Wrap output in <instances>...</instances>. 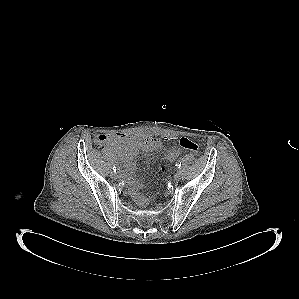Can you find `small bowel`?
I'll return each instance as SVG.
<instances>
[{"instance_id":"c3829d8e","label":"small bowel","mask_w":299,"mask_h":299,"mask_svg":"<svg viewBox=\"0 0 299 299\" xmlns=\"http://www.w3.org/2000/svg\"><path fill=\"white\" fill-rule=\"evenodd\" d=\"M99 137H107L102 145L115 150L122 163V173L125 180L135 188L141 187L143 178L136 176L137 165L134 158L139 151H152L161 148L163 144L162 140L152 136H130L125 134L109 136L102 134ZM180 155V149L172 148L166 153L165 159L168 162H174ZM164 171V167L159 169V173H163Z\"/></svg>"}]
</instances>
